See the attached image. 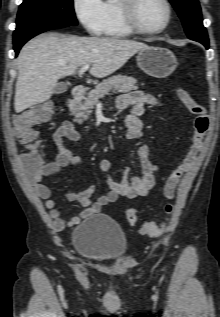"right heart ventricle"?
Here are the masks:
<instances>
[{
	"label": "right heart ventricle",
	"mask_w": 220,
	"mask_h": 317,
	"mask_svg": "<svg viewBox=\"0 0 220 317\" xmlns=\"http://www.w3.org/2000/svg\"><path fill=\"white\" fill-rule=\"evenodd\" d=\"M118 3L119 0H105L103 2L101 34L106 37L125 38L132 35L121 18Z\"/></svg>",
	"instance_id": "right-heart-ventricle-1"
}]
</instances>
